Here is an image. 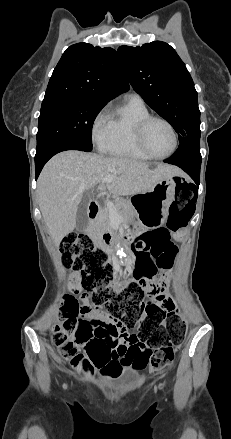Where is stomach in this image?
<instances>
[{
  "label": "stomach",
  "mask_w": 231,
  "mask_h": 439,
  "mask_svg": "<svg viewBox=\"0 0 231 439\" xmlns=\"http://www.w3.org/2000/svg\"><path fill=\"white\" fill-rule=\"evenodd\" d=\"M184 183L182 176L176 175L159 181L150 190L135 194L132 197L136 214L148 227L162 225L170 204L175 198L178 184Z\"/></svg>",
  "instance_id": "0dacf381"
}]
</instances>
